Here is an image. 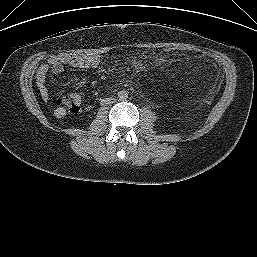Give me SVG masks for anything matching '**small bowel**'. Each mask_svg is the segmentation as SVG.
Here are the masks:
<instances>
[{"label": "small bowel", "mask_w": 257, "mask_h": 257, "mask_svg": "<svg viewBox=\"0 0 257 257\" xmlns=\"http://www.w3.org/2000/svg\"><path fill=\"white\" fill-rule=\"evenodd\" d=\"M100 61V57L96 54H81L76 56L62 54L49 57L38 67L35 75L36 84L42 98L45 101L49 99V93L45 85L49 70H51L53 74L58 75L64 71L65 65L80 69H91L98 67ZM54 114L57 118H62L66 114V111L56 108Z\"/></svg>", "instance_id": "small-bowel-1"}]
</instances>
